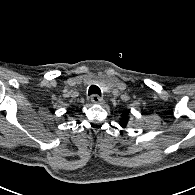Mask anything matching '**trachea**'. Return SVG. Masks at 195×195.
<instances>
[{
  "instance_id": "obj_1",
  "label": "trachea",
  "mask_w": 195,
  "mask_h": 195,
  "mask_svg": "<svg viewBox=\"0 0 195 195\" xmlns=\"http://www.w3.org/2000/svg\"><path fill=\"white\" fill-rule=\"evenodd\" d=\"M88 93L89 95H92V94L101 95V90L98 86L93 85L89 87Z\"/></svg>"
}]
</instances>
